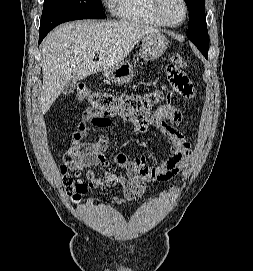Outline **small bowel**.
Wrapping results in <instances>:
<instances>
[{
    "label": "small bowel",
    "mask_w": 253,
    "mask_h": 271,
    "mask_svg": "<svg viewBox=\"0 0 253 271\" xmlns=\"http://www.w3.org/2000/svg\"><path fill=\"white\" fill-rule=\"evenodd\" d=\"M172 67L167 68V76L174 86ZM184 100L191 97L181 94ZM131 125L132 132L146 134L151 129L160 131L171 147L168 157L157 165H148L143 155L129 159L125 153H117L114 156V163L126 172V176L112 171H104L97 174V166H106L108 161L106 152L109 148V138L102 135L96 143H86L84 138L90 125L96 127H108L111 119L107 116L87 110L77 130L73 133L70 146L64 154V162L71 170L86 171L88 179L86 191L100 187H111L120 185L123 196L116 197L118 203L132 201L140 197L150 182L169 181L178 175L184 163L189 158L191 143L186 139L183 132L169 125V122L180 123L183 120V105L173 102L172 92L168 91L167 101L158 107L154 112L138 119L132 114L114 113Z\"/></svg>",
    "instance_id": "small-bowel-1"
}]
</instances>
